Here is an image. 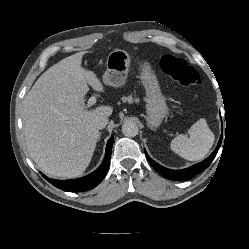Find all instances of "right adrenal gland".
<instances>
[{
    "label": "right adrenal gland",
    "instance_id": "2a0ac1e0",
    "mask_svg": "<svg viewBox=\"0 0 249 249\" xmlns=\"http://www.w3.org/2000/svg\"><path fill=\"white\" fill-rule=\"evenodd\" d=\"M101 132L99 133L98 140H100Z\"/></svg>",
    "mask_w": 249,
    "mask_h": 249
}]
</instances>
